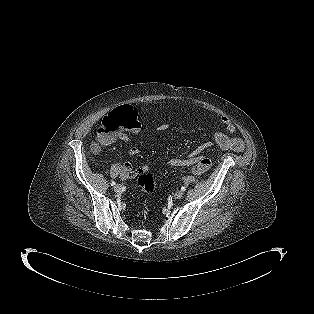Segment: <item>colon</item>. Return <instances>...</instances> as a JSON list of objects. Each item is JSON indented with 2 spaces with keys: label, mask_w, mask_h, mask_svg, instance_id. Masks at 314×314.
<instances>
[{
  "label": "colon",
  "mask_w": 314,
  "mask_h": 314,
  "mask_svg": "<svg viewBox=\"0 0 314 314\" xmlns=\"http://www.w3.org/2000/svg\"><path fill=\"white\" fill-rule=\"evenodd\" d=\"M140 126L137 113L132 106L124 105L112 111L106 116L97 130L96 145L109 141L115 134L133 130ZM213 164L210 157H202L193 167L195 174H202L207 171ZM138 187L145 192H152L155 188L154 178L151 173L144 167L138 169Z\"/></svg>",
  "instance_id": "colon-1"
}]
</instances>
